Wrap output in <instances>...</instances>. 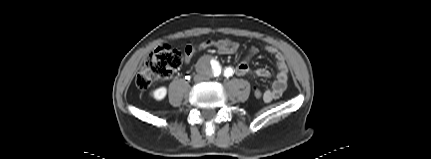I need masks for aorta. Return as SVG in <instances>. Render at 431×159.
Returning a JSON list of instances; mask_svg holds the SVG:
<instances>
[{"label":"aorta","instance_id":"aorta-1","mask_svg":"<svg viewBox=\"0 0 431 159\" xmlns=\"http://www.w3.org/2000/svg\"><path fill=\"white\" fill-rule=\"evenodd\" d=\"M219 68L218 67H214V68H211V67H209L208 68V72H209V74L210 75H213V76H217V75H219Z\"/></svg>","mask_w":431,"mask_h":159}]
</instances>
